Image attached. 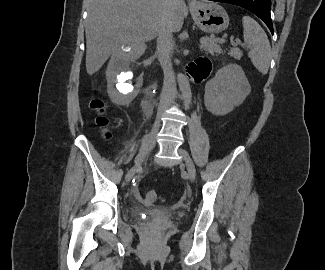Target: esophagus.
Instances as JSON below:
<instances>
[{
    "label": "esophagus",
    "mask_w": 325,
    "mask_h": 270,
    "mask_svg": "<svg viewBox=\"0 0 325 270\" xmlns=\"http://www.w3.org/2000/svg\"><path fill=\"white\" fill-rule=\"evenodd\" d=\"M189 7L190 8H193V7H195L196 5H197V1L196 0H189Z\"/></svg>",
    "instance_id": "1"
}]
</instances>
